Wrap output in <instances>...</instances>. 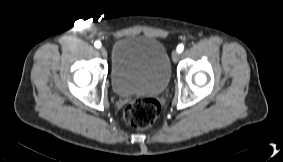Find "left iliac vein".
<instances>
[{
  "mask_svg": "<svg viewBox=\"0 0 283 162\" xmlns=\"http://www.w3.org/2000/svg\"><path fill=\"white\" fill-rule=\"evenodd\" d=\"M171 57L173 62L176 63L179 60V53L177 51H173Z\"/></svg>",
  "mask_w": 283,
  "mask_h": 162,
  "instance_id": "4c4485c4",
  "label": "left iliac vein"
}]
</instances>
